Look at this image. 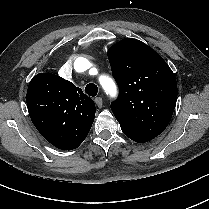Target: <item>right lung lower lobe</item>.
I'll list each match as a JSON object with an SVG mask.
<instances>
[{"label": "right lung lower lobe", "instance_id": "obj_1", "mask_svg": "<svg viewBox=\"0 0 209 209\" xmlns=\"http://www.w3.org/2000/svg\"><path fill=\"white\" fill-rule=\"evenodd\" d=\"M60 147H63V145H61ZM58 148V147H57ZM59 149H62V148H59Z\"/></svg>", "mask_w": 209, "mask_h": 209}]
</instances>
